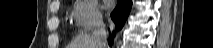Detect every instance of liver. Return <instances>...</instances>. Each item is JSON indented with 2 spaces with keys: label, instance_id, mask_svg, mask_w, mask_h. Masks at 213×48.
<instances>
[{
  "label": "liver",
  "instance_id": "obj_1",
  "mask_svg": "<svg viewBox=\"0 0 213 48\" xmlns=\"http://www.w3.org/2000/svg\"><path fill=\"white\" fill-rule=\"evenodd\" d=\"M67 48H96V44L89 34L78 35Z\"/></svg>",
  "mask_w": 213,
  "mask_h": 48
}]
</instances>
